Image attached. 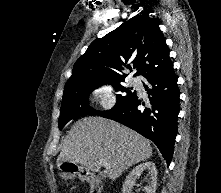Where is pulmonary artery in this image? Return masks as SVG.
<instances>
[{"label":"pulmonary artery","instance_id":"1","mask_svg":"<svg viewBox=\"0 0 221 193\" xmlns=\"http://www.w3.org/2000/svg\"><path fill=\"white\" fill-rule=\"evenodd\" d=\"M131 82H132V84H134V85H140V81H139L137 78H133V79L131 80Z\"/></svg>","mask_w":221,"mask_h":193}]
</instances>
